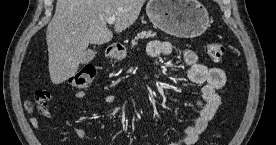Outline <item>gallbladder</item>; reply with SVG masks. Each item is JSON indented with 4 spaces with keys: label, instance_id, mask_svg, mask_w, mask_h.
Masks as SVG:
<instances>
[{
    "label": "gallbladder",
    "instance_id": "1",
    "mask_svg": "<svg viewBox=\"0 0 276 145\" xmlns=\"http://www.w3.org/2000/svg\"><path fill=\"white\" fill-rule=\"evenodd\" d=\"M96 55V52L92 49L85 50L81 55V64L89 63Z\"/></svg>",
    "mask_w": 276,
    "mask_h": 145
}]
</instances>
